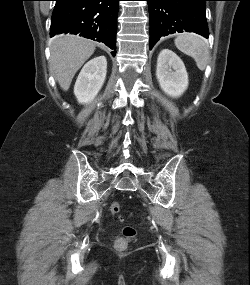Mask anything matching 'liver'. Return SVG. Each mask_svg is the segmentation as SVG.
<instances>
[{"label": "liver", "instance_id": "6515ba94", "mask_svg": "<svg viewBox=\"0 0 250 285\" xmlns=\"http://www.w3.org/2000/svg\"><path fill=\"white\" fill-rule=\"evenodd\" d=\"M50 66L60 87L67 91L80 67L95 51V43L76 35H58L53 38Z\"/></svg>", "mask_w": 250, "mask_h": 285}]
</instances>
